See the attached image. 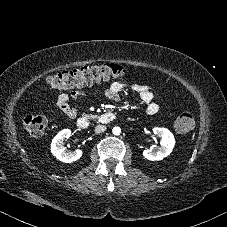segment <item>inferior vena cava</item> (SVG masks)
<instances>
[{"instance_id": "obj_1", "label": "inferior vena cava", "mask_w": 227, "mask_h": 227, "mask_svg": "<svg viewBox=\"0 0 227 227\" xmlns=\"http://www.w3.org/2000/svg\"><path fill=\"white\" fill-rule=\"evenodd\" d=\"M106 130V126L105 125H97L95 127V132L96 133H103Z\"/></svg>"}]
</instances>
